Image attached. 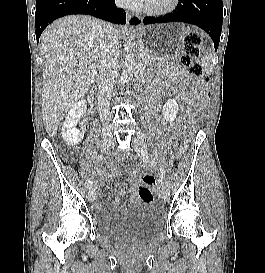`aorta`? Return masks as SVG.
<instances>
[{"mask_svg": "<svg viewBox=\"0 0 265 273\" xmlns=\"http://www.w3.org/2000/svg\"><path fill=\"white\" fill-rule=\"evenodd\" d=\"M127 53L125 55V64L121 75L120 84L124 85L125 83H128L135 73V66L136 61L134 58V54L132 50L129 48V46L125 47Z\"/></svg>", "mask_w": 265, "mask_h": 273, "instance_id": "obj_1", "label": "aorta"}]
</instances>
